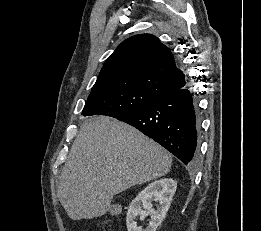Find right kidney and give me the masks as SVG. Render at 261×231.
<instances>
[{
	"mask_svg": "<svg viewBox=\"0 0 261 231\" xmlns=\"http://www.w3.org/2000/svg\"><path fill=\"white\" fill-rule=\"evenodd\" d=\"M176 188L177 182L175 180L164 178L152 182L142 190L128 208L126 218L128 231H156L166 216ZM152 201L158 202L157 210L153 209ZM141 203L145 211L141 209ZM148 215L151 217L148 226L145 229L141 226L138 227L137 216H140V220H144Z\"/></svg>",
	"mask_w": 261,
	"mask_h": 231,
	"instance_id": "1",
	"label": "right kidney"
}]
</instances>
